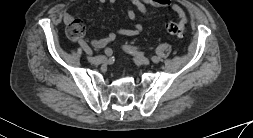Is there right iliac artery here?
<instances>
[{
    "instance_id": "1",
    "label": "right iliac artery",
    "mask_w": 253,
    "mask_h": 138,
    "mask_svg": "<svg viewBox=\"0 0 253 138\" xmlns=\"http://www.w3.org/2000/svg\"><path fill=\"white\" fill-rule=\"evenodd\" d=\"M79 44H80L81 48L83 49V51H84L86 54L91 55V49H90V47L88 46V44H87L85 41L80 40V41H79ZM105 53H106L107 55H110L111 50H110V49H107V50L105 51Z\"/></svg>"
}]
</instances>
